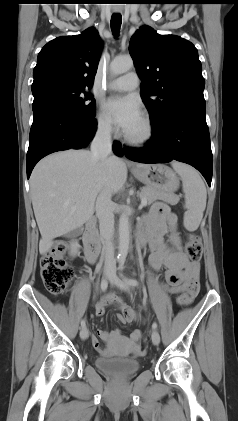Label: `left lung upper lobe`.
<instances>
[{"instance_id": "left-lung-upper-lobe-1", "label": "left lung upper lobe", "mask_w": 238, "mask_h": 421, "mask_svg": "<svg viewBox=\"0 0 238 421\" xmlns=\"http://www.w3.org/2000/svg\"><path fill=\"white\" fill-rule=\"evenodd\" d=\"M129 51L142 80V100L153 128L177 107L205 103L202 66L191 42L143 26L132 36Z\"/></svg>"}]
</instances>
